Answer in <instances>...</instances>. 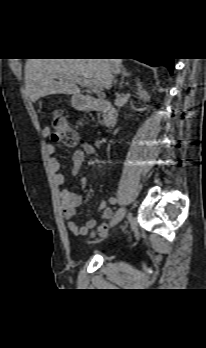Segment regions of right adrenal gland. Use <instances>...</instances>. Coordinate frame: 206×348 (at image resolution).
Instances as JSON below:
<instances>
[{"mask_svg":"<svg viewBox=\"0 0 206 348\" xmlns=\"http://www.w3.org/2000/svg\"><path fill=\"white\" fill-rule=\"evenodd\" d=\"M121 73H122V77H121V81L119 84V88L121 89L123 87V83H124V78L125 77H129L131 75V73L127 72L126 68L122 66L121 68Z\"/></svg>","mask_w":206,"mask_h":348,"instance_id":"1","label":"right adrenal gland"}]
</instances>
